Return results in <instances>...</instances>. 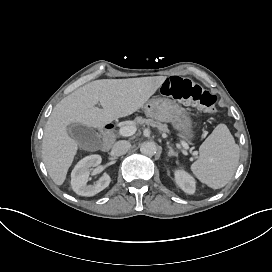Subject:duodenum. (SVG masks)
Segmentation results:
<instances>
[{"label": "duodenum", "mask_w": 272, "mask_h": 272, "mask_svg": "<svg viewBox=\"0 0 272 272\" xmlns=\"http://www.w3.org/2000/svg\"><path fill=\"white\" fill-rule=\"evenodd\" d=\"M103 150H107L113 143L114 140V125L112 123H107L103 128Z\"/></svg>", "instance_id": "1"}]
</instances>
